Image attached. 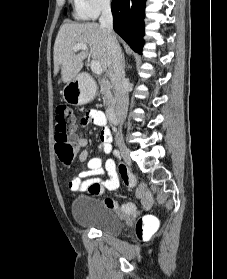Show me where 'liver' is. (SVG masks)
<instances>
[{"mask_svg": "<svg viewBox=\"0 0 227 279\" xmlns=\"http://www.w3.org/2000/svg\"><path fill=\"white\" fill-rule=\"evenodd\" d=\"M84 44L87 50L77 53L73 47ZM91 55L104 70L108 67L107 33L97 23H64L54 44V75L61 71L62 81L75 78L83 67L84 59Z\"/></svg>", "mask_w": 227, "mask_h": 279, "instance_id": "liver-1", "label": "liver"}]
</instances>
